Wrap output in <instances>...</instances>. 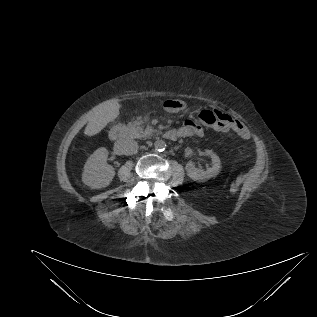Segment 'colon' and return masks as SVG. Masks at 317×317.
I'll return each mask as SVG.
<instances>
[{"label":"colon","instance_id":"5ec220e1","mask_svg":"<svg viewBox=\"0 0 317 317\" xmlns=\"http://www.w3.org/2000/svg\"><path fill=\"white\" fill-rule=\"evenodd\" d=\"M199 119L207 126H216L220 122V115L214 110H202L199 113Z\"/></svg>","mask_w":317,"mask_h":317}]
</instances>
